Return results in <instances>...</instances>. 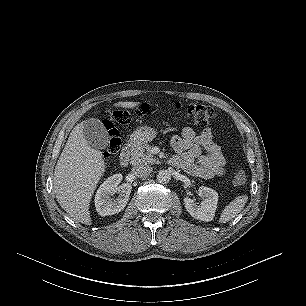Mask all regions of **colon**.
<instances>
[{"mask_svg":"<svg viewBox=\"0 0 306 306\" xmlns=\"http://www.w3.org/2000/svg\"><path fill=\"white\" fill-rule=\"evenodd\" d=\"M180 108L193 123L198 125H207L212 123L217 117L215 110L208 105L190 103L182 105ZM113 121H116L120 124H127L130 121V115L123 110L108 112V119L104 121L105 128L108 132V144L103 153L104 161H109L116 153L120 145L119 132L115 128ZM245 182V172L241 169H238L235 172L233 183L236 186H242L245 184Z\"/></svg>","mask_w":306,"mask_h":306,"instance_id":"colon-1","label":"colon"}]
</instances>
